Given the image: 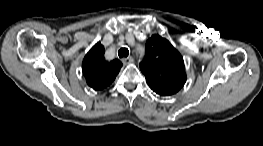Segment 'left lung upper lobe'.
Wrapping results in <instances>:
<instances>
[{
	"mask_svg": "<svg viewBox=\"0 0 263 146\" xmlns=\"http://www.w3.org/2000/svg\"><path fill=\"white\" fill-rule=\"evenodd\" d=\"M149 87L159 95L177 93L186 82L181 54L165 38L153 35L146 42V55L140 63Z\"/></svg>",
	"mask_w": 263,
	"mask_h": 146,
	"instance_id": "5c2ea615",
	"label": "left lung upper lobe"
}]
</instances>
